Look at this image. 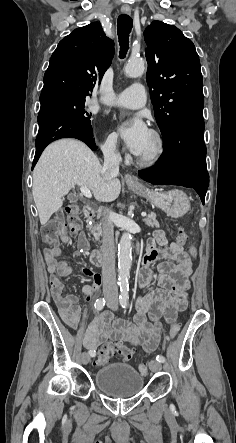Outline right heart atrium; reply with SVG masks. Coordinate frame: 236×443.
<instances>
[{"instance_id":"right-heart-atrium-1","label":"right heart atrium","mask_w":236,"mask_h":443,"mask_svg":"<svg viewBox=\"0 0 236 443\" xmlns=\"http://www.w3.org/2000/svg\"><path fill=\"white\" fill-rule=\"evenodd\" d=\"M103 151L108 156H115L118 152L117 140L113 135H109L102 144Z\"/></svg>"}]
</instances>
